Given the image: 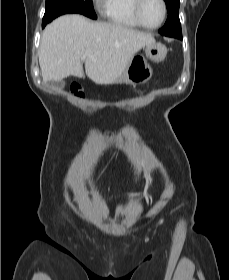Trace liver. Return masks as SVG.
<instances>
[{
  "label": "liver",
  "instance_id": "obj_1",
  "mask_svg": "<svg viewBox=\"0 0 229 280\" xmlns=\"http://www.w3.org/2000/svg\"><path fill=\"white\" fill-rule=\"evenodd\" d=\"M155 43L149 33L120 24L93 22L79 14L55 19L43 31L39 65L44 82L85 73L99 85L114 83L143 47ZM86 53L90 55L84 57Z\"/></svg>",
  "mask_w": 229,
  "mask_h": 280
}]
</instances>
